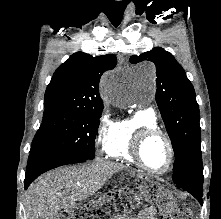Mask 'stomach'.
Here are the masks:
<instances>
[{"instance_id": "stomach-1", "label": "stomach", "mask_w": 221, "mask_h": 219, "mask_svg": "<svg viewBox=\"0 0 221 219\" xmlns=\"http://www.w3.org/2000/svg\"><path fill=\"white\" fill-rule=\"evenodd\" d=\"M139 182L150 183L144 190L145 204H164V199H171L170 190H164L158 178H140Z\"/></svg>"}]
</instances>
